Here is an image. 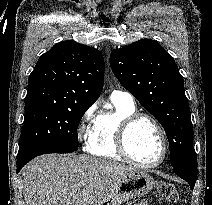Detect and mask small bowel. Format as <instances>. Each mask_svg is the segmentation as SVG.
<instances>
[{
  "label": "small bowel",
  "instance_id": "small-bowel-1",
  "mask_svg": "<svg viewBox=\"0 0 212 205\" xmlns=\"http://www.w3.org/2000/svg\"><path fill=\"white\" fill-rule=\"evenodd\" d=\"M135 205H148L147 203H138V204H135Z\"/></svg>",
  "mask_w": 212,
  "mask_h": 205
}]
</instances>
